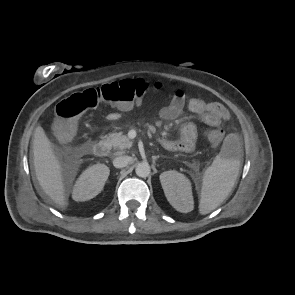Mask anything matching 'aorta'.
<instances>
[{"label": "aorta", "mask_w": 295, "mask_h": 295, "mask_svg": "<svg viewBox=\"0 0 295 295\" xmlns=\"http://www.w3.org/2000/svg\"><path fill=\"white\" fill-rule=\"evenodd\" d=\"M150 171L151 169L147 162H141L135 168L136 175L141 178L148 177L150 174Z\"/></svg>", "instance_id": "obj_1"}]
</instances>
